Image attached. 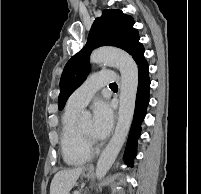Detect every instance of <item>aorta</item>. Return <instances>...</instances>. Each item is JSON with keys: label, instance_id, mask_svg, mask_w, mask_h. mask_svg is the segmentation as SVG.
Wrapping results in <instances>:
<instances>
[{"label": "aorta", "instance_id": "aorta-1", "mask_svg": "<svg viewBox=\"0 0 201 194\" xmlns=\"http://www.w3.org/2000/svg\"><path fill=\"white\" fill-rule=\"evenodd\" d=\"M90 62L115 66L121 73L118 121L114 134L96 166V176L98 179H102L117 158L131 126L138 88V67L128 53L108 47L94 50L90 56ZM82 115L85 118L90 117V113L87 111Z\"/></svg>", "mask_w": 201, "mask_h": 194}]
</instances>
